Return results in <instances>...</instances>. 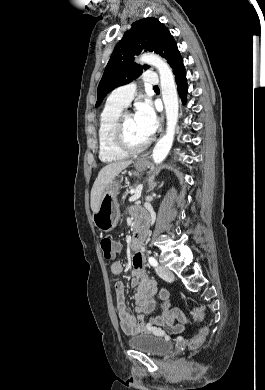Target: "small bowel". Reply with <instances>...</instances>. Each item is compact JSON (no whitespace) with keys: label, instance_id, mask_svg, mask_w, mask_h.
I'll list each match as a JSON object with an SVG mask.
<instances>
[{"label":"small bowel","instance_id":"c3829d8e","mask_svg":"<svg viewBox=\"0 0 265 390\" xmlns=\"http://www.w3.org/2000/svg\"><path fill=\"white\" fill-rule=\"evenodd\" d=\"M132 215L135 219L146 217V213L137 207L132 209ZM115 250L116 253L120 252L121 245L115 243ZM110 270L114 275H120L124 268L120 261H115L111 264ZM131 285L136 288L134 297L136 316L127 309L124 283L118 281L115 284L116 314L125 333L162 335L165 332L164 329L170 333H179L184 330L189 320L180 309L172 307L168 290L159 291L161 314H152L156 307L154 297L158 289L155 281L145 269V258L142 253H136L132 258ZM147 315L150 316L146 320Z\"/></svg>","mask_w":265,"mask_h":390}]
</instances>
